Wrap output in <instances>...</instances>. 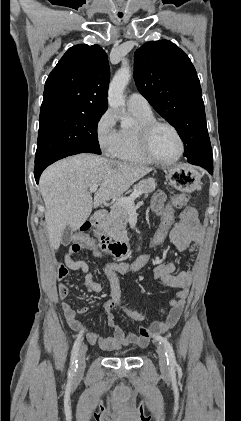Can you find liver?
I'll use <instances>...</instances> for the list:
<instances>
[{
	"label": "liver",
	"instance_id": "obj_1",
	"mask_svg": "<svg viewBox=\"0 0 241 421\" xmlns=\"http://www.w3.org/2000/svg\"><path fill=\"white\" fill-rule=\"evenodd\" d=\"M152 168L120 162L94 154H78L49 166L39 186L45 203V221L52 249L57 250L66 226L77 230L90 216L92 208L120 197ZM100 185L92 198L89 188Z\"/></svg>",
	"mask_w": 241,
	"mask_h": 421
}]
</instances>
